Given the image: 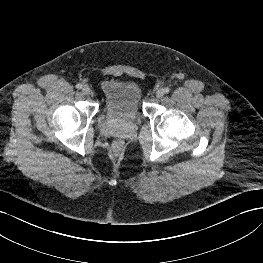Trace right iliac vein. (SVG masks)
Returning a JSON list of instances; mask_svg holds the SVG:
<instances>
[{
	"instance_id": "1",
	"label": "right iliac vein",
	"mask_w": 263,
	"mask_h": 263,
	"mask_svg": "<svg viewBox=\"0 0 263 263\" xmlns=\"http://www.w3.org/2000/svg\"><path fill=\"white\" fill-rule=\"evenodd\" d=\"M82 92H83V94H85V95H89V94L91 93V89H90L89 86L85 85V86H83V88H82Z\"/></svg>"
}]
</instances>
